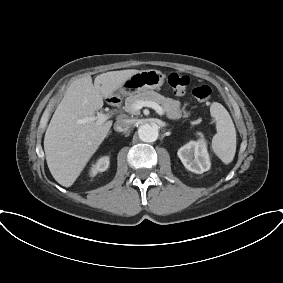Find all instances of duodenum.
<instances>
[{
  "label": "duodenum",
  "instance_id": "duodenum-1",
  "mask_svg": "<svg viewBox=\"0 0 283 283\" xmlns=\"http://www.w3.org/2000/svg\"><path fill=\"white\" fill-rule=\"evenodd\" d=\"M109 105L116 107L119 103V97H113L108 100Z\"/></svg>",
  "mask_w": 283,
  "mask_h": 283
}]
</instances>
